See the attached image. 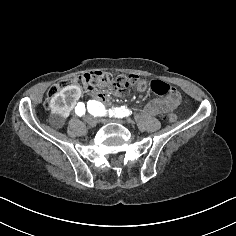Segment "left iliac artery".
<instances>
[{
  "mask_svg": "<svg viewBox=\"0 0 236 236\" xmlns=\"http://www.w3.org/2000/svg\"><path fill=\"white\" fill-rule=\"evenodd\" d=\"M87 109H88V112L94 117L105 116L108 111V110H105V107L101 102H98L96 100H89L87 102ZM130 112L132 113V111L125 109V106H121V108H114L113 110L109 109V116L123 118L125 116H129Z\"/></svg>",
  "mask_w": 236,
  "mask_h": 236,
  "instance_id": "obj_1",
  "label": "left iliac artery"
}]
</instances>
